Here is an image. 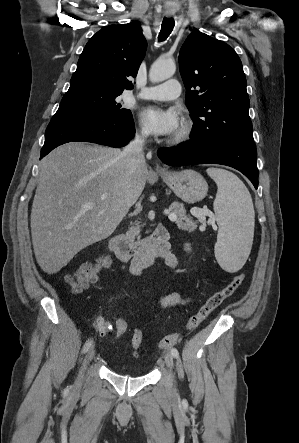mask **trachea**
<instances>
[{
	"label": "trachea",
	"mask_w": 299,
	"mask_h": 443,
	"mask_svg": "<svg viewBox=\"0 0 299 443\" xmlns=\"http://www.w3.org/2000/svg\"><path fill=\"white\" fill-rule=\"evenodd\" d=\"M175 22L173 18H164L162 25H161V30L158 36V40L160 42L165 41L168 36L170 35V33L172 32L173 28H174Z\"/></svg>",
	"instance_id": "obj_1"
}]
</instances>
